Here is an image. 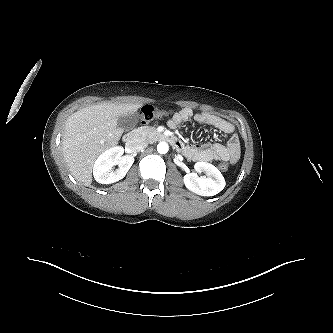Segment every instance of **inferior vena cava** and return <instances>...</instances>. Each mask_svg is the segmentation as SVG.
Wrapping results in <instances>:
<instances>
[{"mask_svg": "<svg viewBox=\"0 0 333 333\" xmlns=\"http://www.w3.org/2000/svg\"><path fill=\"white\" fill-rule=\"evenodd\" d=\"M147 146H148V143L144 139H141V138L134 139L127 144V148L132 152L141 151L144 148H146Z\"/></svg>", "mask_w": 333, "mask_h": 333, "instance_id": "inferior-vena-cava-1", "label": "inferior vena cava"}]
</instances>
